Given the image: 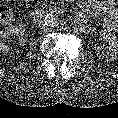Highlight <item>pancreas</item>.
I'll return each mask as SVG.
<instances>
[{"mask_svg":"<svg viewBox=\"0 0 118 118\" xmlns=\"http://www.w3.org/2000/svg\"><path fill=\"white\" fill-rule=\"evenodd\" d=\"M48 9H50V10H55L56 8L55 7H52V6H50V5H45Z\"/></svg>","mask_w":118,"mask_h":118,"instance_id":"cf45deb5","label":"pancreas"}]
</instances>
